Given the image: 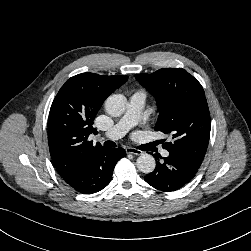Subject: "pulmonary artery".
<instances>
[{
	"label": "pulmonary artery",
	"mask_w": 251,
	"mask_h": 251,
	"mask_svg": "<svg viewBox=\"0 0 251 251\" xmlns=\"http://www.w3.org/2000/svg\"><path fill=\"white\" fill-rule=\"evenodd\" d=\"M146 101V93L144 91L135 92L129 99L128 107L124 116L105 134L111 140L122 138L127 131L137 124L141 117V113ZM169 152L162 151V156L167 157Z\"/></svg>",
	"instance_id": "obj_1"
}]
</instances>
